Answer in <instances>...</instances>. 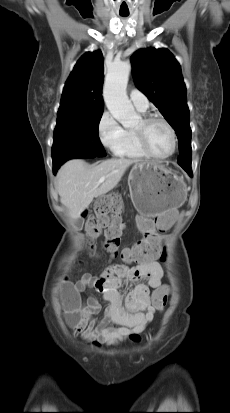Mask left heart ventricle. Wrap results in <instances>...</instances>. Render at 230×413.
Returning <instances> with one entry per match:
<instances>
[{"instance_id": "obj_1", "label": "left heart ventricle", "mask_w": 230, "mask_h": 413, "mask_svg": "<svg viewBox=\"0 0 230 413\" xmlns=\"http://www.w3.org/2000/svg\"><path fill=\"white\" fill-rule=\"evenodd\" d=\"M142 128L140 121L135 129ZM145 137L150 149L159 155H166L172 148V138L167 126L160 121H153L144 128Z\"/></svg>"}]
</instances>
